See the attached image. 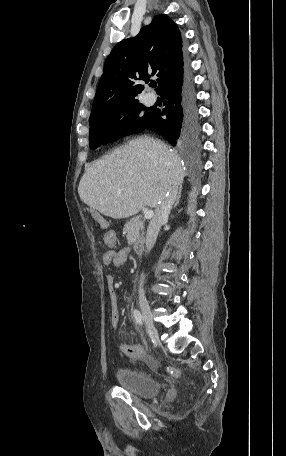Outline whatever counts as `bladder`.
<instances>
[{"mask_svg": "<svg viewBox=\"0 0 286 456\" xmlns=\"http://www.w3.org/2000/svg\"><path fill=\"white\" fill-rule=\"evenodd\" d=\"M117 382L119 387L143 398L155 396L161 391V384L151 375L129 368L118 369Z\"/></svg>", "mask_w": 286, "mask_h": 456, "instance_id": "1", "label": "bladder"}]
</instances>
